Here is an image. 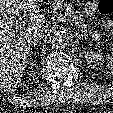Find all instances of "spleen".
I'll use <instances>...</instances> for the list:
<instances>
[{"instance_id": "spleen-1", "label": "spleen", "mask_w": 113, "mask_h": 113, "mask_svg": "<svg viewBox=\"0 0 113 113\" xmlns=\"http://www.w3.org/2000/svg\"><path fill=\"white\" fill-rule=\"evenodd\" d=\"M108 68L111 71V73L113 74V54L109 58Z\"/></svg>"}]
</instances>
